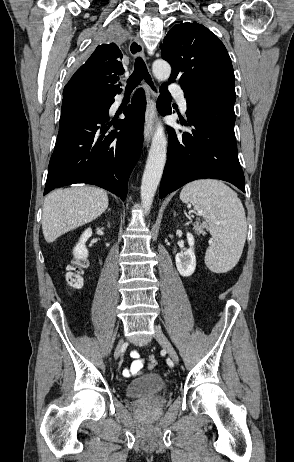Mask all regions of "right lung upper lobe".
Returning a JSON list of instances; mask_svg holds the SVG:
<instances>
[{"instance_id":"right-lung-upper-lobe-1","label":"right lung upper lobe","mask_w":294,"mask_h":462,"mask_svg":"<svg viewBox=\"0 0 294 462\" xmlns=\"http://www.w3.org/2000/svg\"><path fill=\"white\" fill-rule=\"evenodd\" d=\"M122 53L115 43L97 46L89 59L74 73L64 87L63 99L76 94L113 97L121 92L117 85L123 74Z\"/></svg>"}]
</instances>
